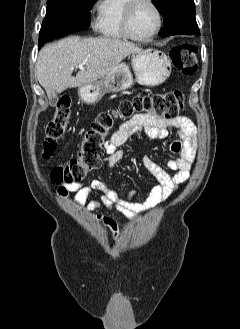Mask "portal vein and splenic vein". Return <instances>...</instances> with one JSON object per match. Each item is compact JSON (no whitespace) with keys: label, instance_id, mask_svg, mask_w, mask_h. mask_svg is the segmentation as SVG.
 I'll use <instances>...</instances> for the list:
<instances>
[{"label":"portal vein and splenic vein","instance_id":"portal-vein-and-splenic-vein-1","mask_svg":"<svg viewBox=\"0 0 240 329\" xmlns=\"http://www.w3.org/2000/svg\"><path fill=\"white\" fill-rule=\"evenodd\" d=\"M77 67H78L79 69H81V70H84V69H85V68L83 67V65H81V64L78 65Z\"/></svg>","mask_w":240,"mask_h":329}]
</instances>
